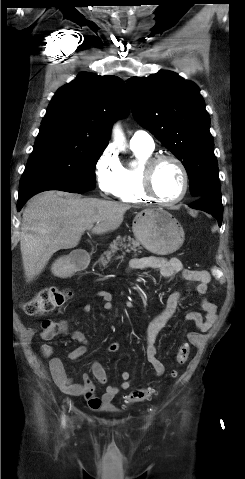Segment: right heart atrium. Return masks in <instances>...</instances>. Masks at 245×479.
<instances>
[{"instance_id":"obj_1","label":"right heart atrium","mask_w":245,"mask_h":479,"mask_svg":"<svg viewBox=\"0 0 245 479\" xmlns=\"http://www.w3.org/2000/svg\"><path fill=\"white\" fill-rule=\"evenodd\" d=\"M122 165L114 150L106 149L95 167L97 185L104 196H116L121 180Z\"/></svg>"}]
</instances>
